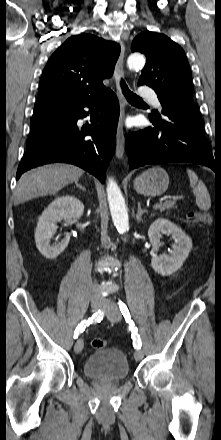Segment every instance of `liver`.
Masks as SVG:
<instances>
[{"instance_id": "6515ba94", "label": "liver", "mask_w": 221, "mask_h": 440, "mask_svg": "<svg viewBox=\"0 0 221 440\" xmlns=\"http://www.w3.org/2000/svg\"><path fill=\"white\" fill-rule=\"evenodd\" d=\"M84 171L69 164H52L33 169L21 176L14 202L20 204L39 196L54 195L69 183L78 181Z\"/></svg>"}]
</instances>
